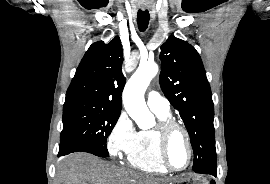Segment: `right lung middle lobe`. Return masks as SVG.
Listing matches in <instances>:
<instances>
[{
  "instance_id": "1",
  "label": "right lung middle lobe",
  "mask_w": 270,
  "mask_h": 184,
  "mask_svg": "<svg viewBox=\"0 0 270 184\" xmlns=\"http://www.w3.org/2000/svg\"><path fill=\"white\" fill-rule=\"evenodd\" d=\"M119 116L120 112L87 101L65 100L58 155L90 149L96 156L108 157L106 140Z\"/></svg>"
}]
</instances>
